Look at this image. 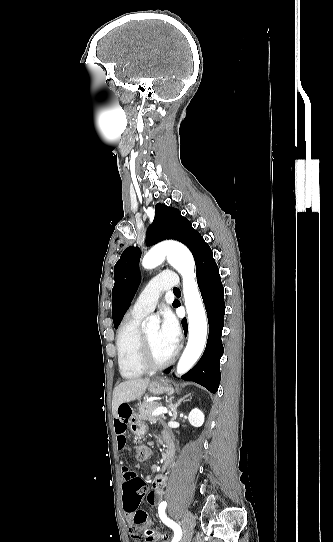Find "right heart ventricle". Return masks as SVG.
Listing matches in <instances>:
<instances>
[{
	"mask_svg": "<svg viewBox=\"0 0 333 542\" xmlns=\"http://www.w3.org/2000/svg\"><path fill=\"white\" fill-rule=\"evenodd\" d=\"M142 317L130 313L129 319L121 325L116 336L119 371L126 379H137L145 373L137 361Z\"/></svg>",
	"mask_w": 333,
	"mask_h": 542,
	"instance_id": "e07e8e85",
	"label": "right heart ventricle"
}]
</instances>
